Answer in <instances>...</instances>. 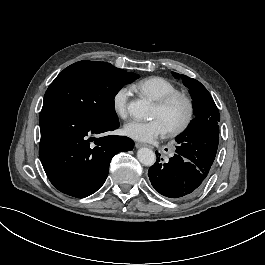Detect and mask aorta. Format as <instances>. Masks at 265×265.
I'll list each match as a JSON object with an SVG mask.
<instances>
[{"mask_svg": "<svg viewBox=\"0 0 265 265\" xmlns=\"http://www.w3.org/2000/svg\"><path fill=\"white\" fill-rule=\"evenodd\" d=\"M130 115L137 119H148L151 116L152 109L147 100H137L130 102L128 106ZM137 158L144 166H152L156 161L155 153L149 148H140L137 151Z\"/></svg>", "mask_w": 265, "mask_h": 265, "instance_id": "obj_1", "label": "aorta"}]
</instances>
